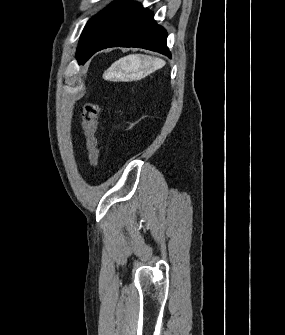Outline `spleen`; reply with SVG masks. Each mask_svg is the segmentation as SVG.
Wrapping results in <instances>:
<instances>
[{
  "label": "spleen",
  "instance_id": "spleen-1",
  "mask_svg": "<svg viewBox=\"0 0 285 335\" xmlns=\"http://www.w3.org/2000/svg\"><path fill=\"white\" fill-rule=\"evenodd\" d=\"M130 70H140V68H144L147 70L149 68L150 62H152V66H154V70H160L165 66L164 60H159V58H145V56H140V54H136V56H129Z\"/></svg>",
  "mask_w": 285,
  "mask_h": 335
}]
</instances>
